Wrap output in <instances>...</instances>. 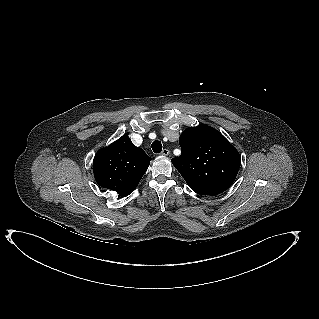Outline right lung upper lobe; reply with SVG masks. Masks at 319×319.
Here are the masks:
<instances>
[{
	"mask_svg": "<svg viewBox=\"0 0 319 319\" xmlns=\"http://www.w3.org/2000/svg\"><path fill=\"white\" fill-rule=\"evenodd\" d=\"M151 158L133 145L127 135L99 150L93 161L96 182L126 197L137 187Z\"/></svg>",
	"mask_w": 319,
	"mask_h": 319,
	"instance_id": "obj_1",
	"label": "right lung upper lobe"
}]
</instances>
